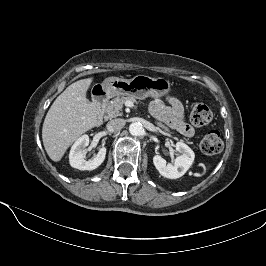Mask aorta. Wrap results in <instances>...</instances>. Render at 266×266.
I'll use <instances>...</instances> for the list:
<instances>
[{"label": "aorta", "instance_id": "aorta-1", "mask_svg": "<svg viewBox=\"0 0 266 266\" xmlns=\"http://www.w3.org/2000/svg\"><path fill=\"white\" fill-rule=\"evenodd\" d=\"M144 129L140 122L131 123L129 126V132L133 136H140L143 133Z\"/></svg>", "mask_w": 266, "mask_h": 266}]
</instances>
